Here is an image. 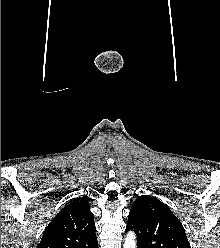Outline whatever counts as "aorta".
<instances>
[{
	"instance_id": "obj_1",
	"label": "aorta",
	"mask_w": 220,
	"mask_h": 248,
	"mask_svg": "<svg viewBox=\"0 0 220 248\" xmlns=\"http://www.w3.org/2000/svg\"><path fill=\"white\" fill-rule=\"evenodd\" d=\"M137 242H136V236L133 232H129L126 235L123 248H136Z\"/></svg>"
}]
</instances>
